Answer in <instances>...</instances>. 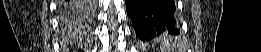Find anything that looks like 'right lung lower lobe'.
<instances>
[{"mask_svg": "<svg viewBox=\"0 0 261 52\" xmlns=\"http://www.w3.org/2000/svg\"><path fill=\"white\" fill-rule=\"evenodd\" d=\"M63 9V16L72 18L75 14L79 13L80 11V4L77 2H69L65 1L61 4Z\"/></svg>", "mask_w": 261, "mask_h": 52, "instance_id": "right-lung-lower-lobe-1", "label": "right lung lower lobe"}]
</instances>
